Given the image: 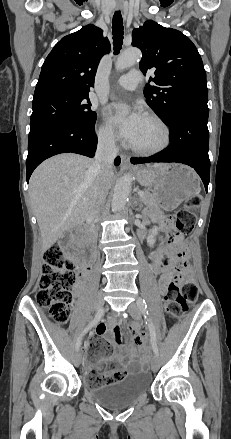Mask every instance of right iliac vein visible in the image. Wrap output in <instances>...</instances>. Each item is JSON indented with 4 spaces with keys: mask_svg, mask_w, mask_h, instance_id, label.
Returning <instances> with one entry per match:
<instances>
[{
    "mask_svg": "<svg viewBox=\"0 0 231 439\" xmlns=\"http://www.w3.org/2000/svg\"><path fill=\"white\" fill-rule=\"evenodd\" d=\"M95 309L97 310L96 313V318L97 320H100L101 317L104 314V298L102 294H98L96 299H95ZM82 362V354L80 352V350H77L74 356V364L78 367Z\"/></svg>",
    "mask_w": 231,
    "mask_h": 439,
    "instance_id": "obj_1",
    "label": "right iliac vein"
}]
</instances>
